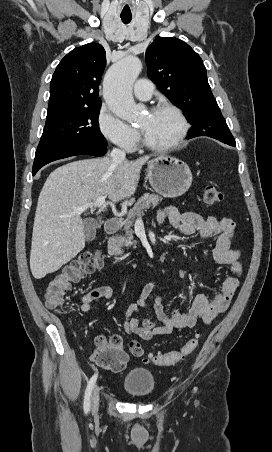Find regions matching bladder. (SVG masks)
<instances>
[{"label":"bladder","instance_id":"31cf9c89","mask_svg":"<svg viewBox=\"0 0 272 452\" xmlns=\"http://www.w3.org/2000/svg\"><path fill=\"white\" fill-rule=\"evenodd\" d=\"M122 386L134 398H146L155 390L152 372L141 367L131 368L124 376Z\"/></svg>","mask_w":272,"mask_h":452}]
</instances>
